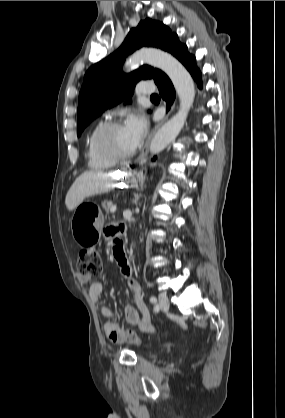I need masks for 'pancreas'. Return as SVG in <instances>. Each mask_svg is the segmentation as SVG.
I'll return each mask as SVG.
<instances>
[{"mask_svg": "<svg viewBox=\"0 0 285 418\" xmlns=\"http://www.w3.org/2000/svg\"><path fill=\"white\" fill-rule=\"evenodd\" d=\"M102 207L105 209L106 212H108L111 207V204L108 201H104L102 203Z\"/></svg>", "mask_w": 285, "mask_h": 418, "instance_id": "1", "label": "pancreas"}]
</instances>
